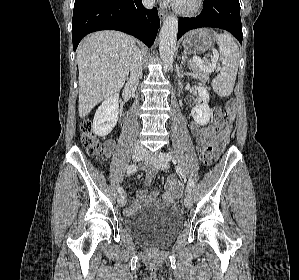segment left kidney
<instances>
[{"instance_id":"5707ae66","label":"left kidney","mask_w":299,"mask_h":280,"mask_svg":"<svg viewBox=\"0 0 299 280\" xmlns=\"http://www.w3.org/2000/svg\"><path fill=\"white\" fill-rule=\"evenodd\" d=\"M198 94L203 101L202 104L196 105L192 111V117L199 125H207L211 118V110L208 105L209 102V93L205 87L198 88Z\"/></svg>"}]
</instances>
